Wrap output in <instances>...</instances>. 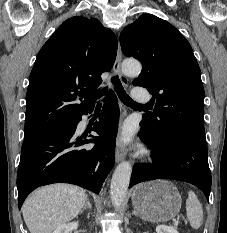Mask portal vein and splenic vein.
<instances>
[{"mask_svg":"<svg viewBox=\"0 0 227 233\" xmlns=\"http://www.w3.org/2000/svg\"><path fill=\"white\" fill-rule=\"evenodd\" d=\"M178 224H179L178 218H177V219H174V220H173V226H174V227H177Z\"/></svg>","mask_w":227,"mask_h":233,"instance_id":"1","label":"portal vein and splenic vein"}]
</instances>
